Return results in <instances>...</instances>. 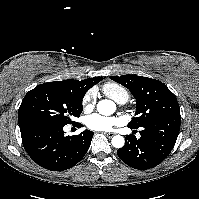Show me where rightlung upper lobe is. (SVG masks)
<instances>
[{
    "mask_svg": "<svg viewBox=\"0 0 199 199\" xmlns=\"http://www.w3.org/2000/svg\"><path fill=\"white\" fill-rule=\"evenodd\" d=\"M103 78L101 77H94L85 79L82 81L79 80H64V81H56L54 83L62 86L65 89H68L72 92L84 94L95 84L100 82Z\"/></svg>",
    "mask_w": 199,
    "mask_h": 199,
    "instance_id": "cb5924a9",
    "label": "right lung upper lobe"
}]
</instances>
